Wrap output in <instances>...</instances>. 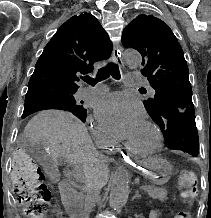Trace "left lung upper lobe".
<instances>
[{
    "mask_svg": "<svg viewBox=\"0 0 211 218\" xmlns=\"http://www.w3.org/2000/svg\"><path fill=\"white\" fill-rule=\"evenodd\" d=\"M122 44L142 55L141 73L154 93L143 104L164 134L167 147L197 156L199 139L189 70L172 30L162 20L141 14L124 29ZM139 91L146 93L145 88Z\"/></svg>",
    "mask_w": 211,
    "mask_h": 218,
    "instance_id": "left-lung-upper-lobe-1",
    "label": "left lung upper lobe"
}]
</instances>
